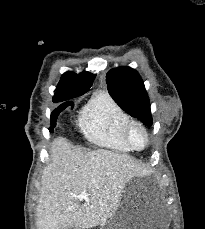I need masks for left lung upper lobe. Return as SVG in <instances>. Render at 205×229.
Wrapping results in <instances>:
<instances>
[{"mask_svg":"<svg viewBox=\"0 0 205 229\" xmlns=\"http://www.w3.org/2000/svg\"><path fill=\"white\" fill-rule=\"evenodd\" d=\"M106 82L111 97L125 112L147 126L152 125L149 98L136 70L130 67L111 69Z\"/></svg>","mask_w":205,"mask_h":229,"instance_id":"5c2ea615","label":"left lung upper lobe"}]
</instances>
